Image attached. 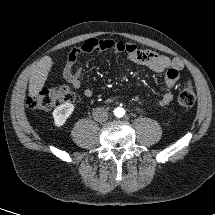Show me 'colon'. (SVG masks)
I'll return each instance as SVG.
<instances>
[{
	"label": "colon",
	"instance_id": "5ec220e1",
	"mask_svg": "<svg viewBox=\"0 0 215 215\" xmlns=\"http://www.w3.org/2000/svg\"><path fill=\"white\" fill-rule=\"evenodd\" d=\"M74 94L68 87L45 88L38 94L28 99L30 107L41 110H48L62 103L73 101ZM196 101L194 87L190 80L187 81L185 87L181 90L178 102L183 108H191Z\"/></svg>",
	"mask_w": 215,
	"mask_h": 215
}]
</instances>
